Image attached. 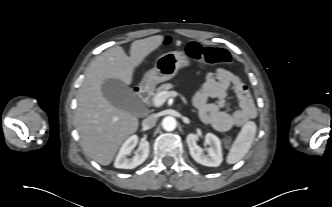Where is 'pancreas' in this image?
I'll list each match as a JSON object with an SVG mask.
<instances>
[{
	"instance_id": "cf45deb5",
	"label": "pancreas",
	"mask_w": 332,
	"mask_h": 207,
	"mask_svg": "<svg viewBox=\"0 0 332 207\" xmlns=\"http://www.w3.org/2000/svg\"><path fill=\"white\" fill-rule=\"evenodd\" d=\"M172 88H173V84H171V83H166V84L161 85L160 87H158V88L156 89V92L153 93L152 101H154L155 97H156L159 93H161V92H163V91H168V90H170V89H172Z\"/></svg>"
}]
</instances>
